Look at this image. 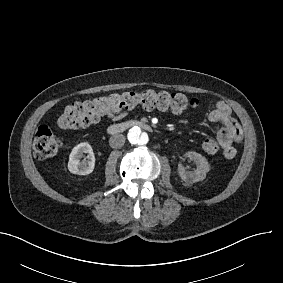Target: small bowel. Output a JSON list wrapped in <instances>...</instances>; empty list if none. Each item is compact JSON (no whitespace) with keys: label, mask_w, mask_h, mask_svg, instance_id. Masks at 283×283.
I'll return each instance as SVG.
<instances>
[{"label":"small bowel","mask_w":283,"mask_h":283,"mask_svg":"<svg viewBox=\"0 0 283 283\" xmlns=\"http://www.w3.org/2000/svg\"><path fill=\"white\" fill-rule=\"evenodd\" d=\"M126 112L108 113L107 117L112 121H118L126 116ZM208 120L212 123H220L217 131V139L222 144V155L231 160L237 155L235 145L242 141V129L237 120L232 116L231 108L223 101H215L208 113Z\"/></svg>","instance_id":"obj_1"}]
</instances>
